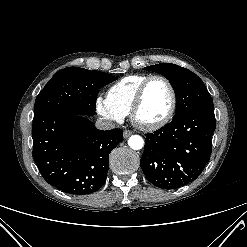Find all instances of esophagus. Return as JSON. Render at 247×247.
Returning a JSON list of instances; mask_svg holds the SVG:
<instances>
[{"label": "esophagus", "instance_id": "34e87169", "mask_svg": "<svg viewBox=\"0 0 247 247\" xmlns=\"http://www.w3.org/2000/svg\"><path fill=\"white\" fill-rule=\"evenodd\" d=\"M132 134H133V132L131 130H125L123 132V136H124L125 139L128 138Z\"/></svg>", "mask_w": 247, "mask_h": 247}]
</instances>
